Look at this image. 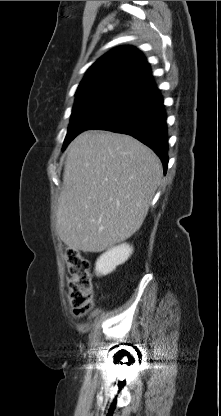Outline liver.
I'll return each mask as SVG.
<instances>
[{"label":"liver","mask_w":221,"mask_h":416,"mask_svg":"<svg viewBox=\"0 0 221 416\" xmlns=\"http://www.w3.org/2000/svg\"><path fill=\"white\" fill-rule=\"evenodd\" d=\"M163 175L157 155L132 136L86 131L69 145L56 230L73 250L101 252L141 227Z\"/></svg>","instance_id":"1"}]
</instances>
